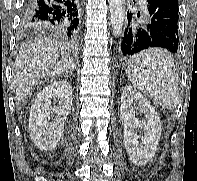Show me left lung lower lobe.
<instances>
[{
    "mask_svg": "<svg viewBox=\"0 0 197 181\" xmlns=\"http://www.w3.org/2000/svg\"><path fill=\"white\" fill-rule=\"evenodd\" d=\"M147 3L142 23H131L133 13L127 12L128 24L119 44L122 59L154 47L172 53L178 50V0H147Z\"/></svg>",
    "mask_w": 197,
    "mask_h": 181,
    "instance_id": "1",
    "label": "left lung lower lobe"
}]
</instances>
